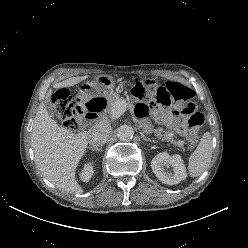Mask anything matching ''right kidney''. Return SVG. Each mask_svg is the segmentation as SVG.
Wrapping results in <instances>:
<instances>
[{"label": "right kidney", "instance_id": "right-kidney-1", "mask_svg": "<svg viewBox=\"0 0 248 248\" xmlns=\"http://www.w3.org/2000/svg\"><path fill=\"white\" fill-rule=\"evenodd\" d=\"M92 174H93L92 163L85 164L82 172L80 173V179L83 182H88L91 179Z\"/></svg>", "mask_w": 248, "mask_h": 248}]
</instances>
